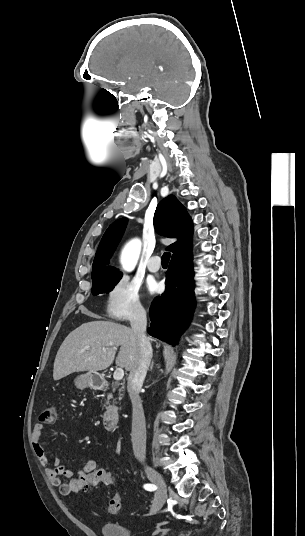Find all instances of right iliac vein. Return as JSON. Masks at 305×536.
<instances>
[{
    "mask_svg": "<svg viewBox=\"0 0 305 536\" xmlns=\"http://www.w3.org/2000/svg\"><path fill=\"white\" fill-rule=\"evenodd\" d=\"M145 472L150 479V481L157 483L159 485V489L156 492L155 499H154V505L151 510V513L158 512L165 503V497L168 492V485L165 481V479L162 477L160 473L155 471L153 468L146 466Z\"/></svg>",
    "mask_w": 305,
    "mask_h": 536,
    "instance_id": "right-iliac-vein-1",
    "label": "right iliac vein"
}]
</instances>
